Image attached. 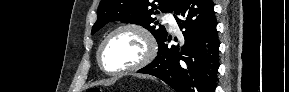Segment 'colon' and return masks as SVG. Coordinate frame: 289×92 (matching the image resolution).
<instances>
[{"mask_svg":"<svg viewBox=\"0 0 289 92\" xmlns=\"http://www.w3.org/2000/svg\"><path fill=\"white\" fill-rule=\"evenodd\" d=\"M89 92H101V90L99 88H91Z\"/></svg>","mask_w":289,"mask_h":92,"instance_id":"5ec220e1","label":"colon"}]
</instances>
